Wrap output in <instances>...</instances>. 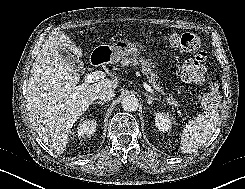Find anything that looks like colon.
Instances as JSON below:
<instances>
[{"label": "colon", "mask_w": 245, "mask_h": 189, "mask_svg": "<svg viewBox=\"0 0 245 189\" xmlns=\"http://www.w3.org/2000/svg\"><path fill=\"white\" fill-rule=\"evenodd\" d=\"M168 43L186 53H193L195 57L187 60L182 68V79L189 83L201 82L207 73V53L202 49L201 42L192 33H173L167 37ZM221 98L215 82H211L208 91L200 97V104L205 108H216L220 105Z\"/></svg>", "instance_id": "5ec220e1"}]
</instances>
